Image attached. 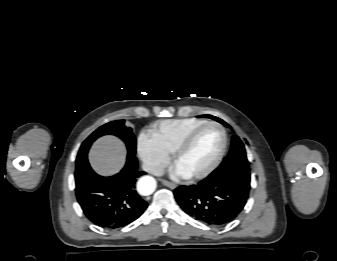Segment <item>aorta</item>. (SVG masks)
<instances>
[{
    "label": "aorta",
    "mask_w": 337,
    "mask_h": 261,
    "mask_svg": "<svg viewBox=\"0 0 337 261\" xmlns=\"http://www.w3.org/2000/svg\"><path fill=\"white\" fill-rule=\"evenodd\" d=\"M138 192L141 195L148 196L156 189V181L151 176L141 177L137 183Z\"/></svg>",
    "instance_id": "aorta-1"
}]
</instances>
